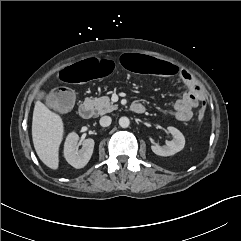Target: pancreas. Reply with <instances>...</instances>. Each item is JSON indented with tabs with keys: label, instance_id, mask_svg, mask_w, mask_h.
I'll list each match as a JSON object with an SVG mask.
<instances>
[{
	"label": "pancreas",
	"instance_id": "1",
	"mask_svg": "<svg viewBox=\"0 0 241 241\" xmlns=\"http://www.w3.org/2000/svg\"><path fill=\"white\" fill-rule=\"evenodd\" d=\"M96 114L103 115L117 109L108 96L90 99Z\"/></svg>",
	"mask_w": 241,
	"mask_h": 241
}]
</instances>
